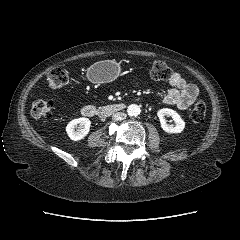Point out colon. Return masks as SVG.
<instances>
[{
  "mask_svg": "<svg viewBox=\"0 0 240 240\" xmlns=\"http://www.w3.org/2000/svg\"><path fill=\"white\" fill-rule=\"evenodd\" d=\"M150 75L154 80L165 81L169 79L171 70L163 61H156L150 69ZM69 82L68 72L60 67L53 68L48 74V84L53 89L65 87ZM54 105L48 99L37 98L32 104V114L37 118L50 117L53 114ZM207 111V104L199 100L191 111V120L200 123L204 120Z\"/></svg>",
  "mask_w": 240,
  "mask_h": 240,
  "instance_id": "obj_1",
  "label": "colon"
}]
</instances>
